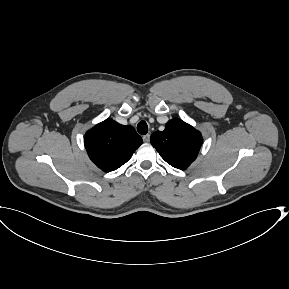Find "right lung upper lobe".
Segmentation results:
<instances>
[{
    "label": "right lung upper lobe",
    "mask_w": 289,
    "mask_h": 289,
    "mask_svg": "<svg viewBox=\"0 0 289 289\" xmlns=\"http://www.w3.org/2000/svg\"><path fill=\"white\" fill-rule=\"evenodd\" d=\"M142 144L132 126L107 119L87 131L84 145L87 153L101 170L111 172L125 164Z\"/></svg>",
    "instance_id": "right-lung-upper-lobe-1"
}]
</instances>
